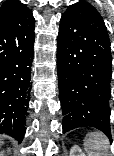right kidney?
Here are the masks:
<instances>
[{"mask_svg":"<svg viewBox=\"0 0 114 156\" xmlns=\"http://www.w3.org/2000/svg\"><path fill=\"white\" fill-rule=\"evenodd\" d=\"M0 156H5V155H4V152H1V153H0Z\"/></svg>","mask_w":114,"mask_h":156,"instance_id":"obj_1","label":"right kidney"}]
</instances>
